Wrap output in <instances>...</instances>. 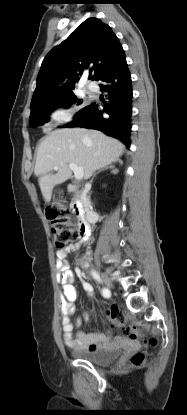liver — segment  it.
I'll list each match as a JSON object with an SVG mask.
<instances>
[{
	"label": "liver",
	"mask_w": 187,
	"mask_h": 415,
	"mask_svg": "<svg viewBox=\"0 0 187 415\" xmlns=\"http://www.w3.org/2000/svg\"><path fill=\"white\" fill-rule=\"evenodd\" d=\"M125 146L119 140L100 131L80 128L58 129L50 132L40 142L34 174L45 202H50L53 188L72 175L69 163L81 166L84 178L116 161ZM58 166L56 174L50 173Z\"/></svg>",
	"instance_id": "obj_1"
}]
</instances>
